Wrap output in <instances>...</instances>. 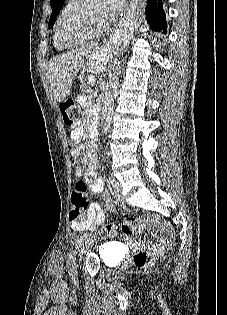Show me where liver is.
<instances>
[{
    "mask_svg": "<svg viewBox=\"0 0 227 315\" xmlns=\"http://www.w3.org/2000/svg\"><path fill=\"white\" fill-rule=\"evenodd\" d=\"M94 47H83L54 57L48 69V80L53 91L54 99L62 103L70 94L73 80L79 70L83 67L85 58L94 54L98 70L106 68L107 51Z\"/></svg>",
    "mask_w": 227,
    "mask_h": 315,
    "instance_id": "obj_1",
    "label": "liver"
}]
</instances>
